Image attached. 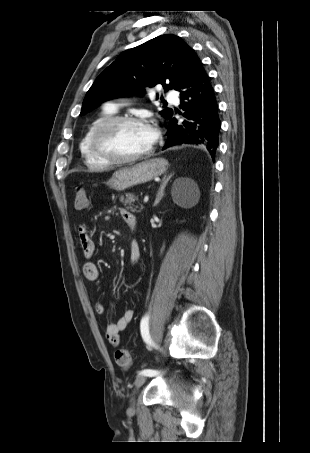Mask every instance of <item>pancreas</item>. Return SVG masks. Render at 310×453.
<instances>
[{
	"label": "pancreas",
	"instance_id": "pancreas-1",
	"mask_svg": "<svg viewBox=\"0 0 310 453\" xmlns=\"http://www.w3.org/2000/svg\"><path fill=\"white\" fill-rule=\"evenodd\" d=\"M126 197H121L120 201L126 206L127 209H131L132 211H135L138 206L134 205L135 201H138V196H136L133 193H126Z\"/></svg>",
	"mask_w": 310,
	"mask_h": 453
}]
</instances>
